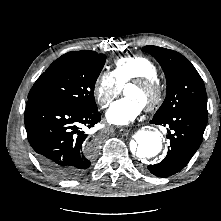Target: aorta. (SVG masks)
<instances>
[{
    "mask_svg": "<svg viewBox=\"0 0 221 221\" xmlns=\"http://www.w3.org/2000/svg\"><path fill=\"white\" fill-rule=\"evenodd\" d=\"M134 139L136 146L132 151L139 160L152 158L162 150L163 141L159 132L142 130L136 133Z\"/></svg>",
    "mask_w": 221,
    "mask_h": 221,
    "instance_id": "1",
    "label": "aorta"
}]
</instances>
